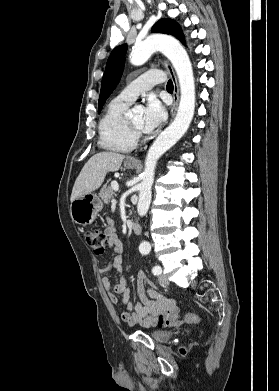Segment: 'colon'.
I'll return each mask as SVG.
<instances>
[{"instance_id":"5ec220e1","label":"colon","mask_w":279,"mask_h":391,"mask_svg":"<svg viewBox=\"0 0 279 391\" xmlns=\"http://www.w3.org/2000/svg\"><path fill=\"white\" fill-rule=\"evenodd\" d=\"M86 243L92 248L94 253L103 254L108 245V237L104 231L89 230L85 233ZM183 319L190 323H198L200 318L198 315L188 313L184 315Z\"/></svg>"}]
</instances>
